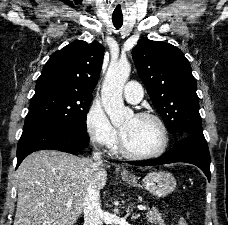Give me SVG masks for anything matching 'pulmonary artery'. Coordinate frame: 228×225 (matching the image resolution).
<instances>
[{
	"label": "pulmonary artery",
	"instance_id": "1",
	"mask_svg": "<svg viewBox=\"0 0 228 225\" xmlns=\"http://www.w3.org/2000/svg\"><path fill=\"white\" fill-rule=\"evenodd\" d=\"M141 93L142 85H138V81H128L125 85L124 97L129 103H138L142 99Z\"/></svg>",
	"mask_w": 228,
	"mask_h": 225
}]
</instances>
